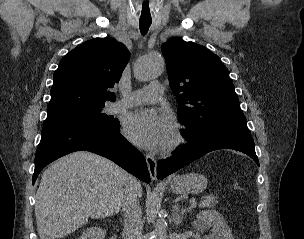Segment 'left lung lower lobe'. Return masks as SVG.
I'll return each mask as SVG.
<instances>
[{
    "label": "left lung lower lobe",
    "instance_id": "0a47b994",
    "mask_svg": "<svg viewBox=\"0 0 304 239\" xmlns=\"http://www.w3.org/2000/svg\"><path fill=\"white\" fill-rule=\"evenodd\" d=\"M227 148L247 154L259 166L250 131L223 130L204 136L199 140L188 141L187 147L182 148L173 156L159 161L157 165V178L164 179L208 152Z\"/></svg>",
    "mask_w": 304,
    "mask_h": 239
}]
</instances>
